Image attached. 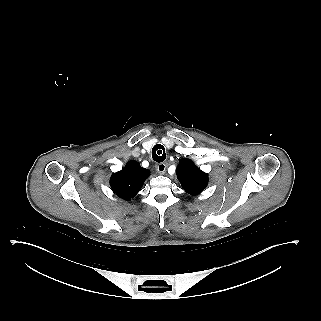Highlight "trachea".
<instances>
[{
    "mask_svg": "<svg viewBox=\"0 0 321 321\" xmlns=\"http://www.w3.org/2000/svg\"><path fill=\"white\" fill-rule=\"evenodd\" d=\"M152 158L154 161L160 163L166 158L165 149L162 145L157 144L152 149Z\"/></svg>",
    "mask_w": 321,
    "mask_h": 321,
    "instance_id": "obj_1",
    "label": "trachea"
}]
</instances>
